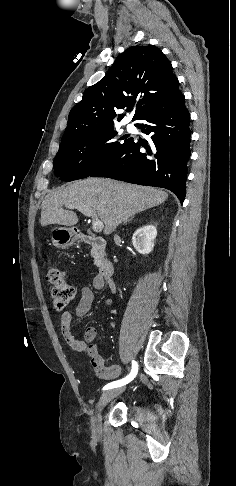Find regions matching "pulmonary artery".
<instances>
[{
    "label": "pulmonary artery",
    "instance_id": "1",
    "mask_svg": "<svg viewBox=\"0 0 236 486\" xmlns=\"http://www.w3.org/2000/svg\"><path fill=\"white\" fill-rule=\"evenodd\" d=\"M126 128H127L128 132H131V133L136 132V127L133 123H129Z\"/></svg>",
    "mask_w": 236,
    "mask_h": 486
}]
</instances>
